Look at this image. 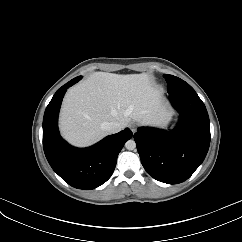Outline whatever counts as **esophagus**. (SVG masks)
Segmentation results:
<instances>
[{"label":"esophagus","instance_id":"obj_1","mask_svg":"<svg viewBox=\"0 0 242 242\" xmlns=\"http://www.w3.org/2000/svg\"><path fill=\"white\" fill-rule=\"evenodd\" d=\"M131 130H132L133 133H135L137 128L135 126H131Z\"/></svg>","mask_w":242,"mask_h":242}]
</instances>
